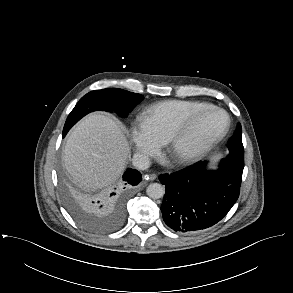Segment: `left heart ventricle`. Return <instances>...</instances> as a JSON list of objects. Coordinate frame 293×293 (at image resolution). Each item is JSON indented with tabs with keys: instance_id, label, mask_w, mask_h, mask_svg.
<instances>
[{
	"instance_id": "1",
	"label": "left heart ventricle",
	"mask_w": 293,
	"mask_h": 293,
	"mask_svg": "<svg viewBox=\"0 0 293 293\" xmlns=\"http://www.w3.org/2000/svg\"><path fill=\"white\" fill-rule=\"evenodd\" d=\"M225 117L217 111H208L195 123L180 145L181 151L194 149L216 135L224 126Z\"/></svg>"
}]
</instances>
